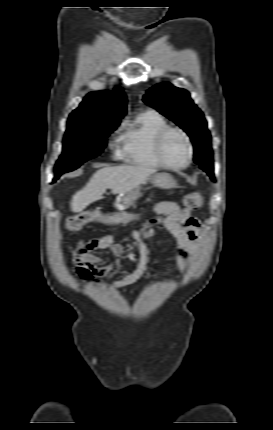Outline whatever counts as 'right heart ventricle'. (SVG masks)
<instances>
[{
  "instance_id": "e07e8e85",
  "label": "right heart ventricle",
  "mask_w": 273,
  "mask_h": 430,
  "mask_svg": "<svg viewBox=\"0 0 273 430\" xmlns=\"http://www.w3.org/2000/svg\"><path fill=\"white\" fill-rule=\"evenodd\" d=\"M168 126L166 119L156 111L139 113L126 124L122 136V156L125 161L144 168L162 167L155 156L154 143L157 134Z\"/></svg>"
}]
</instances>
